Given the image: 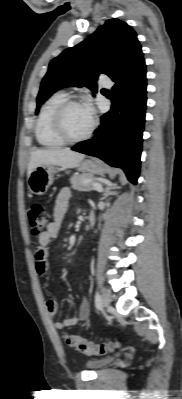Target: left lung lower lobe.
<instances>
[{"instance_id":"1","label":"left lung lower lobe","mask_w":182,"mask_h":399,"mask_svg":"<svg viewBox=\"0 0 182 399\" xmlns=\"http://www.w3.org/2000/svg\"><path fill=\"white\" fill-rule=\"evenodd\" d=\"M146 87V65L143 62L113 86L111 110L101 116V125L95 130V136L71 148L122 168L133 184L137 183L141 163Z\"/></svg>"}]
</instances>
